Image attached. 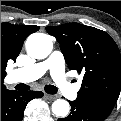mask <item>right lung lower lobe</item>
Masks as SVG:
<instances>
[{
  "mask_svg": "<svg viewBox=\"0 0 121 121\" xmlns=\"http://www.w3.org/2000/svg\"><path fill=\"white\" fill-rule=\"evenodd\" d=\"M42 96L40 91H1V121H22L27 103Z\"/></svg>",
  "mask_w": 121,
  "mask_h": 121,
  "instance_id": "obj_1",
  "label": "right lung lower lobe"
}]
</instances>
